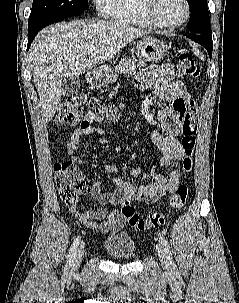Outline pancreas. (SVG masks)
<instances>
[{"label":"pancreas","mask_w":239,"mask_h":303,"mask_svg":"<svg viewBox=\"0 0 239 303\" xmlns=\"http://www.w3.org/2000/svg\"><path fill=\"white\" fill-rule=\"evenodd\" d=\"M146 63L143 60H137L134 57H123L119 64L114 67L117 73L131 74L138 68L145 67Z\"/></svg>","instance_id":"pancreas-1"}]
</instances>
